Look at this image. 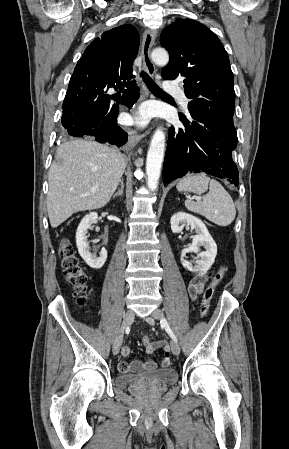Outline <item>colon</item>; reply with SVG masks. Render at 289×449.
Wrapping results in <instances>:
<instances>
[{"mask_svg":"<svg viewBox=\"0 0 289 449\" xmlns=\"http://www.w3.org/2000/svg\"><path fill=\"white\" fill-rule=\"evenodd\" d=\"M59 256L63 273L67 282L74 288L78 305H85L88 276L80 263L76 251L71 243L66 239L62 240L60 243ZM226 273L227 268L221 267L214 274L210 283L206 287L200 303V313L202 316H205L208 313L215 288L224 278ZM149 340L150 338L148 336H144L142 338L143 343H148Z\"/></svg>","mask_w":289,"mask_h":449,"instance_id":"obj_1","label":"colon"}]
</instances>
